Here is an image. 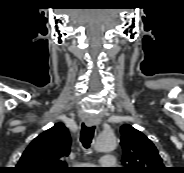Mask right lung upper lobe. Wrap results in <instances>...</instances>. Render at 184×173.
<instances>
[{
	"label": "right lung upper lobe",
	"mask_w": 184,
	"mask_h": 173,
	"mask_svg": "<svg viewBox=\"0 0 184 173\" xmlns=\"http://www.w3.org/2000/svg\"><path fill=\"white\" fill-rule=\"evenodd\" d=\"M71 138L62 123L37 136L14 168L16 173H69L64 159L70 153Z\"/></svg>",
	"instance_id": "right-lung-upper-lobe-1"
}]
</instances>
